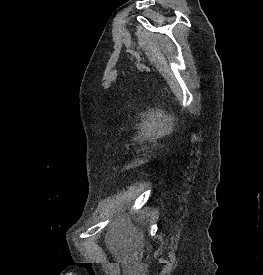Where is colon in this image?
Returning <instances> with one entry per match:
<instances>
[{"label":"colon","mask_w":263,"mask_h":275,"mask_svg":"<svg viewBox=\"0 0 263 275\" xmlns=\"http://www.w3.org/2000/svg\"><path fill=\"white\" fill-rule=\"evenodd\" d=\"M146 265L144 262V243L142 240L135 242V252L128 267L129 275H144Z\"/></svg>","instance_id":"colon-1"}]
</instances>
